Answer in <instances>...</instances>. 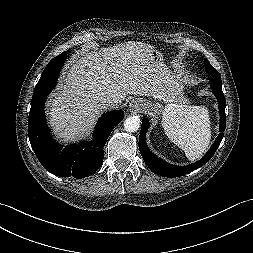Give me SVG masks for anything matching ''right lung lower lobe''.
I'll use <instances>...</instances> for the list:
<instances>
[{
	"instance_id": "98d812e1",
	"label": "right lung lower lobe",
	"mask_w": 253,
	"mask_h": 253,
	"mask_svg": "<svg viewBox=\"0 0 253 253\" xmlns=\"http://www.w3.org/2000/svg\"><path fill=\"white\" fill-rule=\"evenodd\" d=\"M65 60L66 52L51 60L35 87L29 113L28 135L32 149L46 170L60 177L72 175L80 179L93 174L101 166L104 157L102 148L114 127L122 121L124 112L117 110L103 114L94 130V139L89 143L65 148L56 143L50 137L46 124L44 102L54 89Z\"/></svg>"
}]
</instances>
